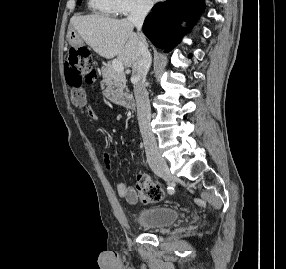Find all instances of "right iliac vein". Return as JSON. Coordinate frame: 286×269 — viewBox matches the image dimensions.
<instances>
[{"mask_svg":"<svg viewBox=\"0 0 286 269\" xmlns=\"http://www.w3.org/2000/svg\"><path fill=\"white\" fill-rule=\"evenodd\" d=\"M154 172L165 180H170L172 178L169 167L166 163H161L160 165L155 166Z\"/></svg>","mask_w":286,"mask_h":269,"instance_id":"63e3f726","label":"right iliac vein"}]
</instances>
